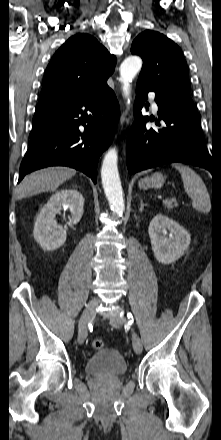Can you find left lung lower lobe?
Returning <instances> with one entry per match:
<instances>
[{
  "mask_svg": "<svg viewBox=\"0 0 221 440\" xmlns=\"http://www.w3.org/2000/svg\"><path fill=\"white\" fill-rule=\"evenodd\" d=\"M149 91L156 94L159 119L166 125L162 129L146 128L149 119L142 116L141 109ZM134 115L135 121L126 144L130 174L172 162L192 164L213 172L214 165L205 146L200 114L195 107L163 96L149 84L138 81Z\"/></svg>",
  "mask_w": 221,
  "mask_h": 440,
  "instance_id": "obj_1",
  "label": "left lung lower lobe"
}]
</instances>
